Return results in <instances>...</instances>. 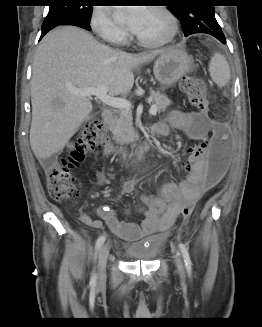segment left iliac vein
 Masks as SVG:
<instances>
[{
	"label": "left iliac vein",
	"mask_w": 262,
	"mask_h": 327,
	"mask_svg": "<svg viewBox=\"0 0 262 327\" xmlns=\"http://www.w3.org/2000/svg\"><path fill=\"white\" fill-rule=\"evenodd\" d=\"M174 261L177 267V270L180 274V276L184 277L185 275V271H184V265H183V261L181 259V257L179 256V254L174 253Z\"/></svg>",
	"instance_id": "left-iliac-vein-1"
}]
</instances>
